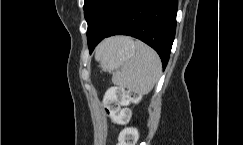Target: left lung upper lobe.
Segmentation results:
<instances>
[{
    "mask_svg": "<svg viewBox=\"0 0 243 145\" xmlns=\"http://www.w3.org/2000/svg\"><path fill=\"white\" fill-rule=\"evenodd\" d=\"M127 0H84V15L88 25L94 22L108 27L121 12Z\"/></svg>",
    "mask_w": 243,
    "mask_h": 145,
    "instance_id": "obj_1",
    "label": "left lung upper lobe"
}]
</instances>
